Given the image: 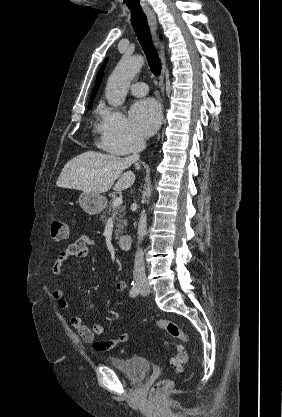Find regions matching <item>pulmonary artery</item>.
Returning <instances> with one entry per match:
<instances>
[{
	"label": "pulmonary artery",
	"instance_id": "obj_1",
	"mask_svg": "<svg viewBox=\"0 0 282 417\" xmlns=\"http://www.w3.org/2000/svg\"><path fill=\"white\" fill-rule=\"evenodd\" d=\"M130 91L135 96H144L148 92V86L143 82L134 83L130 86Z\"/></svg>",
	"mask_w": 282,
	"mask_h": 417
}]
</instances>
